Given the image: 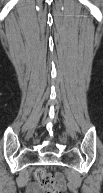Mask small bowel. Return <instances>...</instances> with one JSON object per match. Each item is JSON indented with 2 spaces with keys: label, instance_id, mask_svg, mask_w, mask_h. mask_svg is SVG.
Returning <instances> with one entry per match:
<instances>
[{
  "label": "small bowel",
  "instance_id": "1",
  "mask_svg": "<svg viewBox=\"0 0 103 193\" xmlns=\"http://www.w3.org/2000/svg\"><path fill=\"white\" fill-rule=\"evenodd\" d=\"M66 188V182L65 180L61 177L59 179V183L57 186V193H60L61 191L65 190ZM26 193H44V190L36 183H30L26 187Z\"/></svg>",
  "mask_w": 103,
  "mask_h": 193
}]
</instances>
